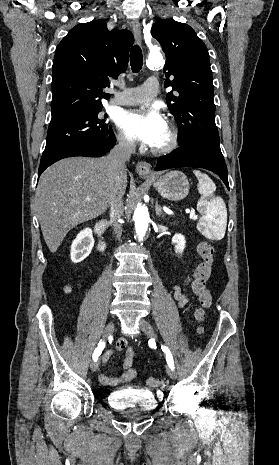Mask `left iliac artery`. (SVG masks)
<instances>
[{"label":"left iliac artery","mask_w":279,"mask_h":465,"mask_svg":"<svg viewBox=\"0 0 279 465\" xmlns=\"http://www.w3.org/2000/svg\"><path fill=\"white\" fill-rule=\"evenodd\" d=\"M162 350L165 353L166 361H167L169 367L174 369V361H173V357H172L171 352L169 351V349L166 346H162Z\"/></svg>","instance_id":"1"}]
</instances>
